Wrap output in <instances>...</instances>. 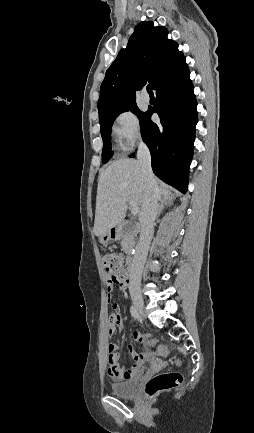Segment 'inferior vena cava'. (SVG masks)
Segmentation results:
<instances>
[{
  "instance_id": "1",
  "label": "inferior vena cava",
  "mask_w": 254,
  "mask_h": 433,
  "mask_svg": "<svg viewBox=\"0 0 254 433\" xmlns=\"http://www.w3.org/2000/svg\"><path fill=\"white\" fill-rule=\"evenodd\" d=\"M137 158L145 180L146 196L139 215L140 237L131 263L130 290L140 288L142 271L154 233L153 223L159 208L155 177L151 168V155L143 141H140Z\"/></svg>"
}]
</instances>
